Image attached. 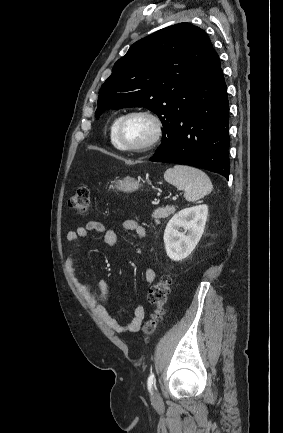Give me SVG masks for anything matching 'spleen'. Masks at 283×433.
<instances>
[{
	"label": "spleen",
	"instance_id": "1",
	"mask_svg": "<svg viewBox=\"0 0 283 433\" xmlns=\"http://www.w3.org/2000/svg\"><path fill=\"white\" fill-rule=\"evenodd\" d=\"M164 178L170 184H174L178 190H185L184 196L191 202L203 198L213 190V184L203 170L185 164H175L172 168H167Z\"/></svg>",
	"mask_w": 283,
	"mask_h": 433
}]
</instances>
